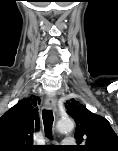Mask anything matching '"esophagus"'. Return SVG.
Listing matches in <instances>:
<instances>
[{
    "label": "esophagus",
    "mask_w": 118,
    "mask_h": 151,
    "mask_svg": "<svg viewBox=\"0 0 118 151\" xmlns=\"http://www.w3.org/2000/svg\"><path fill=\"white\" fill-rule=\"evenodd\" d=\"M45 106L49 110H56V99L53 96H48L45 100Z\"/></svg>",
    "instance_id": "34e87169"
}]
</instances>
